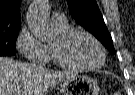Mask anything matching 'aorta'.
I'll return each instance as SVG.
<instances>
[{
	"label": "aorta",
	"instance_id": "762f6f07",
	"mask_svg": "<svg viewBox=\"0 0 135 95\" xmlns=\"http://www.w3.org/2000/svg\"><path fill=\"white\" fill-rule=\"evenodd\" d=\"M27 23L34 36L42 42L53 39L54 32L51 30L48 21L47 0L33 1L27 15Z\"/></svg>",
	"mask_w": 135,
	"mask_h": 95
}]
</instances>
